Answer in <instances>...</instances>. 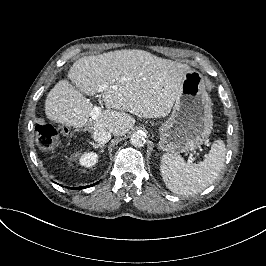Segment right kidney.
I'll return each mask as SVG.
<instances>
[{"instance_id":"right-kidney-1","label":"right kidney","mask_w":266,"mask_h":266,"mask_svg":"<svg viewBox=\"0 0 266 266\" xmlns=\"http://www.w3.org/2000/svg\"><path fill=\"white\" fill-rule=\"evenodd\" d=\"M97 158H96V154H92V153H88V154H84L81 157V164L85 165V166H92L96 163Z\"/></svg>"}]
</instances>
